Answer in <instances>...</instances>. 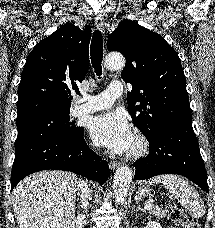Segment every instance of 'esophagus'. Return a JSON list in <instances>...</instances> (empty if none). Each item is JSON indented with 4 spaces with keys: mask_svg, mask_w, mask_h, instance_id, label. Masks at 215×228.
<instances>
[{
    "mask_svg": "<svg viewBox=\"0 0 215 228\" xmlns=\"http://www.w3.org/2000/svg\"><path fill=\"white\" fill-rule=\"evenodd\" d=\"M94 20H95V26H96V28L98 30H100L101 32H104V30H105V24H104V18H103V16L102 15H96ZM109 166H110V168L112 170H114L117 167V163L111 162L109 164Z\"/></svg>",
    "mask_w": 215,
    "mask_h": 228,
    "instance_id": "esophagus-1",
    "label": "esophagus"
}]
</instances>
